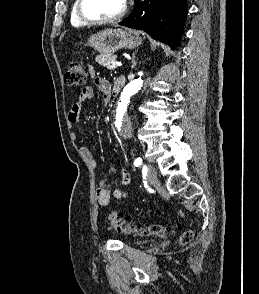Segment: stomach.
Masks as SVG:
<instances>
[{
    "mask_svg": "<svg viewBox=\"0 0 259 294\" xmlns=\"http://www.w3.org/2000/svg\"><path fill=\"white\" fill-rule=\"evenodd\" d=\"M139 36L120 29H105L87 40V45L101 54H113L120 49H134L141 44Z\"/></svg>",
    "mask_w": 259,
    "mask_h": 294,
    "instance_id": "stomach-1",
    "label": "stomach"
}]
</instances>
